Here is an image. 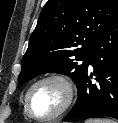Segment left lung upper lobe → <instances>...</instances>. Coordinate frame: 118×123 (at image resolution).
<instances>
[{
    "mask_svg": "<svg viewBox=\"0 0 118 123\" xmlns=\"http://www.w3.org/2000/svg\"><path fill=\"white\" fill-rule=\"evenodd\" d=\"M117 18L118 0H48L22 59L19 84L55 72L70 76L79 89L94 44Z\"/></svg>",
    "mask_w": 118,
    "mask_h": 123,
    "instance_id": "obj_1",
    "label": "left lung upper lobe"
}]
</instances>
